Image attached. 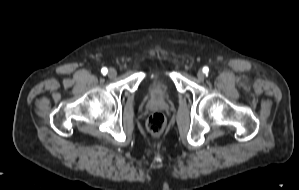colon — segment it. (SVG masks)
<instances>
[{"mask_svg":"<svg viewBox=\"0 0 299 190\" xmlns=\"http://www.w3.org/2000/svg\"><path fill=\"white\" fill-rule=\"evenodd\" d=\"M166 120L163 114L153 113L147 120V129L153 136H159L163 133Z\"/></svg>","mask_w":299,"mask_h":190,"instance_id":"1","label":"colon"}]
</instances>
